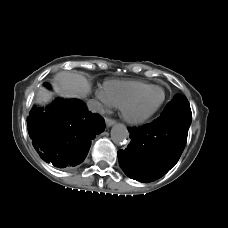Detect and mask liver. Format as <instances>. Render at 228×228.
Segmentation results:
<instances>
[{"mask_svg": "<svg viewBox=\"0 0 228 228\" xmlns=\"http://www.w3.org/2000/svg\"><path fill=\"white\" fill-rule=\"evenodd\" d=\"M55 90L63 97H85L91 90V85L85 76L69 72L61 71L54 77ZM51 98V93L45 89L39 90L37 101L47 102Z\"/></svg>", "mask_w": 228, "mask_h": 228, "instance_id": "6515ba94", "label": "liver"}]
</instances>
